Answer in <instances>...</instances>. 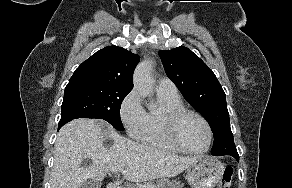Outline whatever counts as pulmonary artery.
Masks as SVG:
<instances>
[{
    "label": "pulmonary artery",
    "mask_w": 292,
    "mask_h": 188,
    "mask_svg": "<svg viewBox=\"0 0 292 188\" xmlns=\"http://www.w3.org/2000/svg\"><path fill=\"white\" fill-rule=\"evenodd\" d=\"M156 90L158 93L169 96H178L176 85L168 78H161L157 82Z\"/></svg>",
    "instance_id": "pulmonary-artery-1"
}]
</instances>
